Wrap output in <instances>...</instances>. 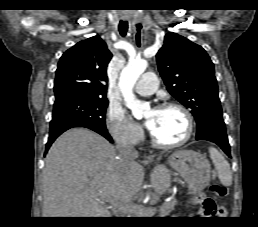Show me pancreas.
Instances as JSON below:
<instances>
[{
  "mask_svg": "<svg viewBox=\"0 0 258 227\" xmlns=\"http://www.w3.org/2000/svg\"><path fill=\"white\" fill-rule=\"evenodd\" d=\"M177 201L174 199L171 202H167L158 208H146L144 207L143 212H133V217H153L154 214L158 213L156 217H167L172 210H174Z\"/></svg>",
  "mask_w": 258,
  "mask_h": 227,
  "instance_id": "cf45deb5",
  "label": "pancreas"
}]
</instances>
